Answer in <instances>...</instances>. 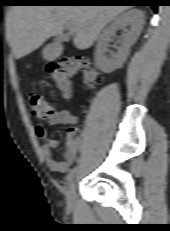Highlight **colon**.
<instances>
[{"instance_id": "obj_1", "label": "colon", "mask_w": 170, "mask_h": 231, "mask_svg": "<svg viewBox=\"0 0 170 231\" xmlns=\"http://www.w3.org/2000/svg\"><path fill=\"white\" fill-rule=\"evenodd\" d=\"M47 73L65 96L70 93L71 79L75 75H80L83 85L87 88H93L101 84L103 80L97 67L88 59L79 56H67L50 63L47 66ZM28 99L33 116L47 119L54 113V109L42 95L31 93ZM79 138L80 130L77 127L68 128L66 133L67 145L74 144Z\"/></svg>"}]
</instances>
